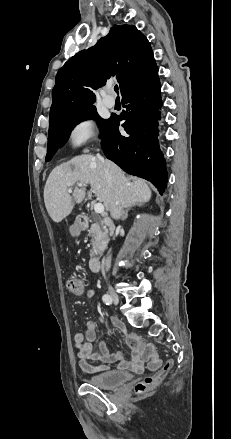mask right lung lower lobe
I'll return each instance as SVG.
<instances>
[{"label": "right lung lower lobe", "mask_w": 231, "mask_h": 439, "mask_svg": "<svg viewBox=\"0 0 231 439\" xmlns=\"http://www.w3.org/2000/svg\"><path fill=\"white\" fill-rule=\"evenodd\" d=\"M158 73L123 95L126 112L109 119L101 146L106 157L125 172L142 177L164 192L167 170L158 140L162 107ZM127 135L119 132L120 121Z\"/></svg>", "instance_id": "1"}]
</instances>
